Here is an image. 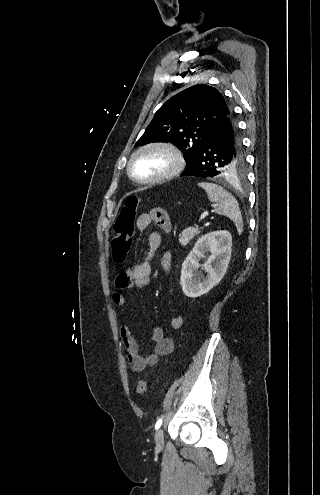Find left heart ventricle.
<instances>
[{
  "instance_id": "1",
  "label": "left heart ventricle",
  "mask_w": 320,
  "mask_h": 495,
  "mask_svg": "<svg viewBox=\"0 0 320 495\" xmlns=\"http://www.w3.org/2000/svg\"><path fill=\"white\" fill-rule=\"evenodd\" d=\"M171 166L170 157L161 151H150L140 154L134 161V174L142 179L156 177Z\"/></svg>"
}]
</instances>
